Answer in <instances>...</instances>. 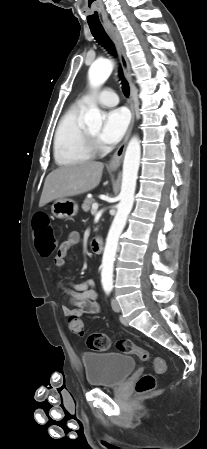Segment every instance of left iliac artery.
I'll return each instance as SVG.
<instances>
[{
    "label": "left iliac artery",
    "instance_id": "1",
    "mask_svg": "<svg viewBox=\"0 0 207 449\" xmlns=\"http://www.w3.org/2000/svg\"><path fill=\"white\" fill-rule=\"evenodd\" d=\"M105 291L107 292V293H110L111 292V290H112V286H105Z\"/></svg>",
    "mask_w": 207,
    "mask_h": 449
}]
</instances>
